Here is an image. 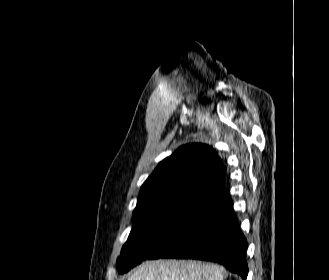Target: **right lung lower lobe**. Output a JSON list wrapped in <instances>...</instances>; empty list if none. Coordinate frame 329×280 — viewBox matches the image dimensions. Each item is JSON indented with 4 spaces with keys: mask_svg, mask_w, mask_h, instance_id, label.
Segmentation results:
<instances>
[{
    "mask_svg": "<svg viewBox=\"0 0 329 280\" xmlns=\"http://www.w3.org/2000/svg\"><path fill=\"white\" fill-rule=\"evenodd\" d=\"M247 240L223 187L149 259L179 258L218 262L243 280L248 275Z\"/></svg>",
    "mask_w": 329,
    "mask_h": 280,
    "instance_id": "1",
    "label": "right lung lower lobe"
}]
</instances>
